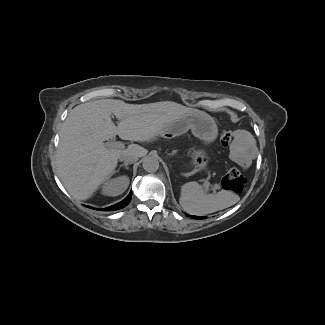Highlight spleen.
Returning a JSON list of instances; mask_svg holds the SVG:
<instances>
[{
  "label": "spleen",
  "instance_id": "1",
  "mask_svg": "<svg viewBox=\"0 0 325 325\" xmlns=\"http://www.w3.org/2000/svg\"><path fill=\"white\" fill-rule=\"evenodd\" d=\"M227 196L225 191L207 194L198 183L188 182L181 187L179 201L185 212L202 216L233 205Z\"/></svg>",
  "mask_w": 325,
  "mask_h": 325
}]
</instances>
